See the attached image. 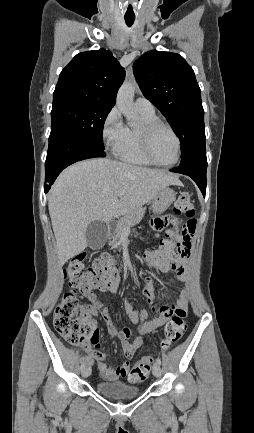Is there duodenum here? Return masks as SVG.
<instances>
[{"instance_id":"obj_1","label":"duodenum","mask_w":254,"mask_h":433,"mask_svg":"<svg viewBox=\"0 0 254 433\" xmlns=\"http://www.w3.org/2000/svg\"><path fill=\"white\" fill-rule=\"evenodd\" d=\"M112 228H113V224H112V223H110V224H109V231H111V230H112Z\"/></svg>"}]
</instances>
